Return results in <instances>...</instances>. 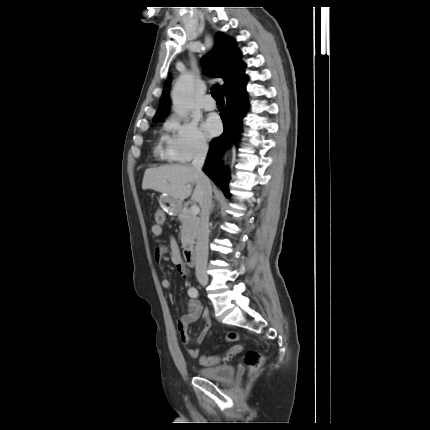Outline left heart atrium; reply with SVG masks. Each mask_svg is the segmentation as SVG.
Segmentation results:
<instances>
[{
    "label": "left heart atrium",
    "mask_w": 430,
    "mask_h": 430,
    "mask_svg": "<svg viewBox=\"0 0 430 430\" xmlns=\"http://www.w3.org/2000/svg\"><path fill=\"white\" fill-rule=\"evenodd\" d=\"M205 134L209 137L216 135L220 129V122L216 116H209L202 125Z\"/></svg>",
    "instance_id": "obj_1"
}]
</instances>
